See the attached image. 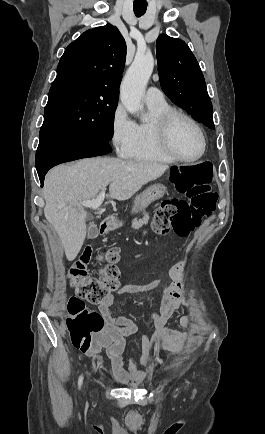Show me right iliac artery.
Listing matches in <instances>:
<instances>
[{
  "instance_id": "right-iliac-artery-1",
  "label": "right iliac artery",
  "mask_w": 265,
  "mask_h": 434,
  "mask_svg": "<svg viewBox=\"0 0 265 434\" xmlns=\"http://www.w3.org/2000/svg\"><path fill=\"white\" fill-rule=\"evenodd\" d=\"M82 379H83V377H82V376H80V378H79V382H78V384H79V387H81V384H82Z\"/></svg>"
}]
</instances>
